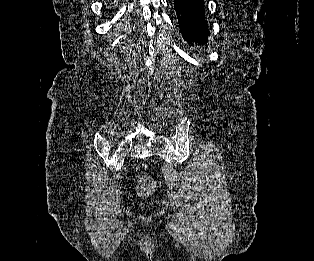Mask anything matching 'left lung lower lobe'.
<instances>
[{
  "label": "left lung lower lobe",
  "instance_id": "1",
  "mask_svg": "<svg viewBox=\"0 0 314 261\" xmlns=\"http://www.w3.org/2000/svg\"><path fill=\"white\" fill-rule=\"evenodd\" d=\"M203 2L204 0H174L182 36L190 43H204L209 35Z\"/></svg>",
  "mask_w": 314,
  "mask_h": 261
}]
</instances>
